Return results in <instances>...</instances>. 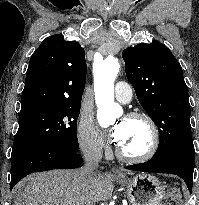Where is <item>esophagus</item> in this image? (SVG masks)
<instances>
[{
	"instance_id": "esophagus-1",
	"label": "esophagus",
	"mask_w": 199,
	"mask_h": 205,
	"mask_svg": "<svg viewBox=\"0 0 199 205\" xmlns=\"http://www.w3.org/2000/svg\"><path fill=\"white\" fill-rule=\"evenodd\" d=\"M111 173L114 175L120 174L119 170H117L116 168H111Z\"/></svg>"
}]
</instances>
